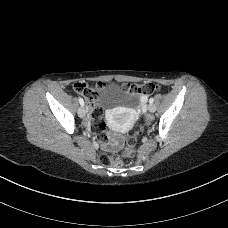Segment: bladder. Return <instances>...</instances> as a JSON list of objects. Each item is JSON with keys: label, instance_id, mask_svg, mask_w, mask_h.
<instances>
[{"label": "bladder", "instance_id": "bladder-1", "mask_svg": "<svg viewBox=\"0 0 228 228\" xmlns=\"http://www.w3.org/2000/svg\"><path fill=\"white\" fill-rule=\"evenodd\" d=\"M96 102L101 107H114L118 105L136 106L137 94L117 84L100 87L97 90Z\"/></svg>", "mask_w": 228, "mask_h": 228}]
</instances>
